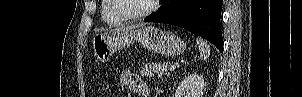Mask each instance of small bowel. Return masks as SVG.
<instances>
[{
	"instance_id": "obj_1",
	"label": "small bowel",
	"mask_w": 302,
	"mask_h": 97,
	"mask_svg": "<svg viewBox=\"0 0 302 97\" xmlns=\"http://www.w3.org/2000/svg\"><path fill=\"white\" fill-rule=\"evenodd\" d=\"M119 86L141 97H148L147 85L132 71L124 70L119 77Z\"/></svg>"
}]
</instances>
